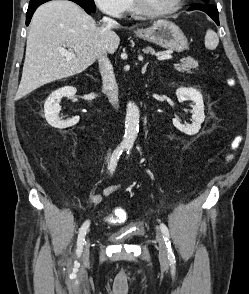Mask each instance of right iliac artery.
<instances>
[{
	"label": "right iliac artery",
	"instance_id": "obj_1",
	"mask_svg": "<svg viewBox=\"0 0 249 294\" xmlns=\"http://www.w3.org/2000/svg\"><path fill=\"white\" fill-rule=\"evenodd\" d=\"M125 148H126L125 146L120 145L114 150V152L110 158V161L108 163V169L110 170V172H113L115 170L116 165H117V161ZM89 226H90V221L87 220L83 223V225L81 226V228L79 230L78 239H77V249H76V254L78 257L81 255V253L83 251L85 235H86V232H87Z\"/></svg>",
	"mask_w": 249,
	"mask_h": 294
}]
</instances>
